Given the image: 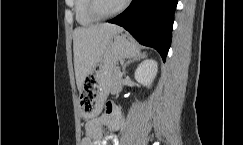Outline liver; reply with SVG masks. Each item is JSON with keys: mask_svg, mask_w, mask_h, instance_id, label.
I'll use <instances>...</instances> for the list:
<instances>
[{"mask_svg": "<svg viewBox=\"0 0 243 145\" xmlns=\"http://www.w3.org/2000/svg\"><path fill=\"white\" fill-rule=\"evenodd\" d=\"M122 31V27L108 23L77 27L74 30V68L79 90H82L87 75L100 61L112 37Z\"/></svg>", "mask_w": 243, "mask_h": 145, "instance_id": "liver-1", "label": "liver"}]
</instances>
